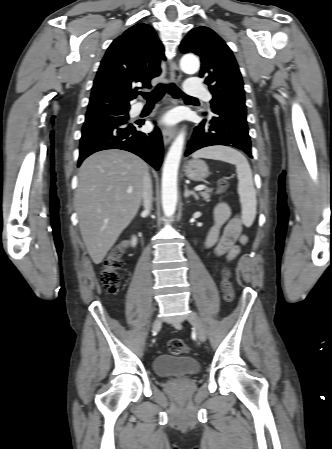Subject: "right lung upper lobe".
<instances>
[{
	"label": "right lung upper lobe",
	"instance_id": "obj_1",
	"mask_svg": "<svg viewBox=\"0 0 332 449\" xmlns=\"http://www.w3.org/2000/svg\"><path fill=\"white\" fill-rule=\"evenodd\" d=\"M164 48L153 28L138 23L115 39L106 51L92 87L87 113L129 108L137 84L150 88L161 73Z\"/></svg>",
	"mask_w": 332,
	"mask_h": 449
}]
</instances>
